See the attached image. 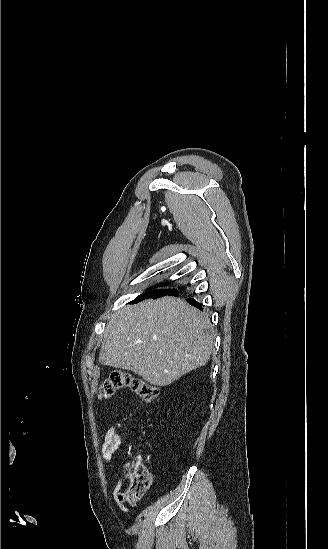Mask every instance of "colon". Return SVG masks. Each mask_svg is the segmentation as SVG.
<instances>
[{
  "mask_svg": "<svg viewBox=\"0 0 328 549\" xmlns=\"http://www.w3.org/2000/svg\"><path fill=\"white\" fill-rule=\"evenodd\" d=\"M127 388L145 402H152L158 397V389L152 384L121 371H113L104 380L99 390L100 398H110L118 390ZM129 486L119 491V498L130 503L141 500L152 483V476L147 468L135 463L128 467Z\"/></svg>",
  "mask_w": 328,
  "mask_h": 549,
  "instance_id": "colon-1",
  "label": "colon"
}]
</instances>
